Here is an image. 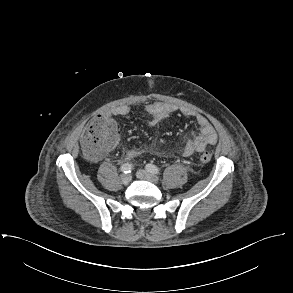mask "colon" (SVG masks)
I'll return each instance as SVG.
<instances>
[{"label": "colon", "mask_w": 293, "mask_h": 293, "mask_svg": "<svg viewBox=\"0 0 293 293\" xmlns=\"http://www.w3.org/2000/svg\"><path fill=\"white\" fill-rule=\"evenodd\" d=\"M118 139L117 125L104 116H94L88 122L82 137V151L90 159H98L104 151L116 145ZM212 158V153L206 151L202 153L199 160L208 163Z\"/></svg>", "instance_id": "obj_1"}]
</instances>
